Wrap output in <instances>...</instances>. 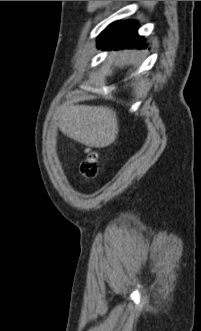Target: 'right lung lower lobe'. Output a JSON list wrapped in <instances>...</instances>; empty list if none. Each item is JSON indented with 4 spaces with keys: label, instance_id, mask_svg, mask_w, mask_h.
<instances>
[{
    "label": "right lung lower lobe",
    "instance_id": "obj_1",
    "mask_svg": "<svg viewBox=\"0 0 201 331\" xmlns=\"http://www.w3.org/2000/svg\"><path fill=\"white\" fill-rule=\"evenodd\" d=\"M137 29L138 25L133 21L114 22L100 34L98 47L102 50L145 48L147 45Z\"/></svg>",
    "mask_w": 201,
    "mask_h": 331
}]
</instances>
